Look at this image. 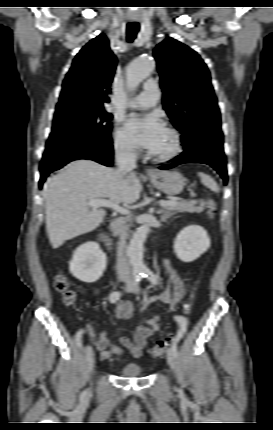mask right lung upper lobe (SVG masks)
<instances>
[{
  "label": "right lung upper lobe",
  "mask_w": 273,
  "mask_h": 430,
  "mask_svg": "<svg viewBox=\"0 0 273 430\" xmlns=\"http://www.w3.org/2000/svg\"><path fill=\"white\" fill-rule=\"evenodd\" d=\"M116 65L117 59L106 36L100 34L92 39L75 56L56 108L75 103L104 108L109 102Z\"/></svg>",
  "instance_id": "right-lung-upper-lobe-1"
}]
</instances>
